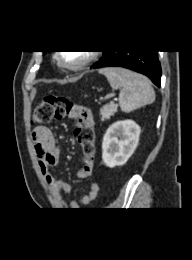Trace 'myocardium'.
Segmentation results:
<instances>
[{
    "label": "myocardium",
    "mask_w": 192,
    "mask_h": 260,
    "mask_svg": "<svg viewBox=\"0 0 192 260\" xmlns=\"http://www.w3.org/2000/svg\"><path fill=\"white\" fill-rule=\"evenodd\" d=\"M63 52H59L57 55L59 63L65 67L66 69L72 70V71H78L89 65L95 58H96V52L94 51H89L88 55L83 59L81 62L77 64H68L65 62L63 58Z\"/></svg>",
    "instance_id": "f54148a6"
}]
</instances>
